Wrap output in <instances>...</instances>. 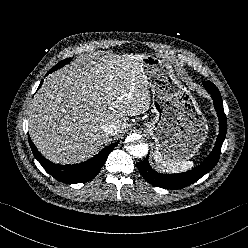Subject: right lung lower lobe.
<instances>
[{"instance_id": "right-lung-lower-lobe-1", "label": "right lung lower lobe", "mask_w": 248, "mask_h": 248, "mask_svg": "<svg viewBox=\"0 0 248 248\" xmlns=\"http://www.w3.org/2000/svg\"><path fill=\"white\" fill-rule=\"evenodd\" d=\"M55 71L51 69L49 73ZM43 81H41L39 87ZM29 144L31 146L32 152L35 158L40 162L42 167L51 174L56 180L63 183L74 184V183H84L92 180L97 173L100 171L104 165L111 150L118 144L115 142L109 146H106L101 152L90 160L74 165H59L49 162L44 158L40 152L36 149L32 140L29 138Z\"/></svg>"}]
</instances>
